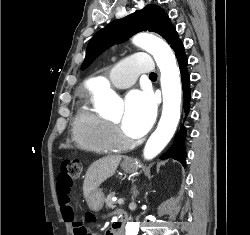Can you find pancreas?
Instances as JSON below:
<instances>
[{
    "label": "pancreas",
    "instance_id": "obj_1",
    "mask_svg": "<svg viewBox=\"0 0 250 235\" xmlns=\"http://www.w3.org/2000/svg\"><path fill=\"white\" fill-rule=\"evenodd\" d=\"M114 195H115V193L112 192V193H110V194L107 196V198H106V200H105V203H106V207H107V208H111V209L115 208L114 202L112 201V197H113Z\"/></svg>",
    "mask_w": 250,
    "mask_h": 235
}]
</instances>
